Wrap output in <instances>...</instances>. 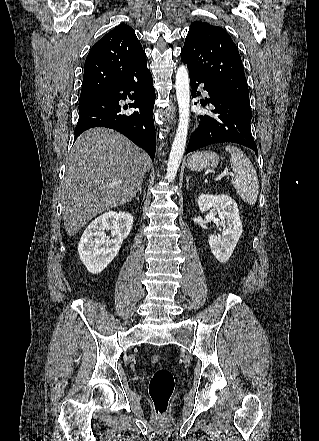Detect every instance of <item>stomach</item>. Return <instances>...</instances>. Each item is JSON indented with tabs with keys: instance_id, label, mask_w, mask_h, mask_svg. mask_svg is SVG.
Returning a JSON list of instances; mask_svg holds the SVG:
<instances>
[{
	"instance_id": "1",
	"label": "stomach",
	"mask_w": 319,
	"mask_h": 441,
	"mask_svg": "<svg viewBox=\"0 0 319 441\" xmlns=\"http://www.w3.org/2000/svg\"><path fill=\"white\" fill-rule=\"evenodd\" d=\"M219 157L216 153L210 151L193 153L188 161L187 167L193 171H202L214 168L218 165Z\"/></svg>"
}]
</instances>
